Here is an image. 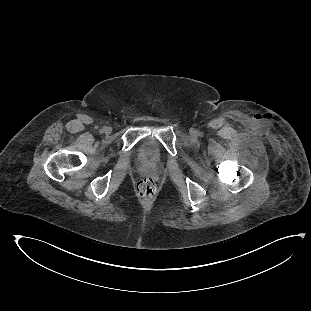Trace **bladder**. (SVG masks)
Segmentation results:
<instances>
[{
    "mask_svg": "<svg viewBox=\"0 0 311 311\" xmlns=\"http://www.w3.org/2000/svg\"><path fill=\"white\" fill-rule=\"evenodd\" d=\"M136 159L140 166L152 168L163 164L164 155L155 139L145 138L137 145Z\"/></svg>",
    "mask_w": 311,
    "mask_h": 311,
    "instance_id": "1",
    "label": "bladder"
}]
</instances>
